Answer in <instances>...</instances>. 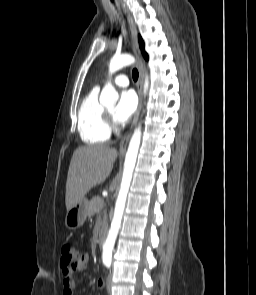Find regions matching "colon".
<instances>
[{
	"label": "colon",
	"mask_w": 256,
	"mask_h": 295,
	"mask_svg": "<svg viewBox=\"0 0 256 295\" xmlns=\"http://www.w3.org/2000/svg\"><path fill=\"white\" fill-rule=\"evenodd\" d=\"M79 260V253L72 243L65 242L61 246L60 264L63 269H73Z\"/></svg>",
	"instance_id": "1"
}]
</instances>
